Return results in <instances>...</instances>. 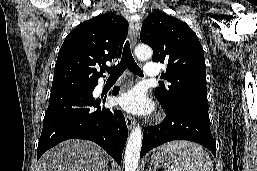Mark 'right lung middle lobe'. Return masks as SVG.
Segmentation results:
<instances>
[{"label":"right lung middle lobe","mask_w":257,"mask_h":171,"mask_svg":"<svg viewBox=\"0 0 257 171\" xmlns=\"http://www.w3.org/2000/svg\"><path fill=\"white\" fill-rule=\"evenodd\" d=\"M95 83H93V84H84V85H78V86H93ZM78 86H73V87H78ZM72 88V87H71ZM64 89H66V88H64ZM52 90H59V89H54L53 87H52Z\"/></svg>","instance_id":"dd1d6c3e"}]
</instances>
